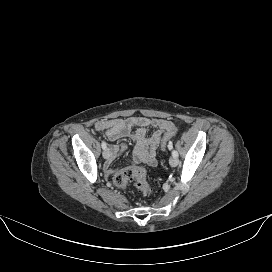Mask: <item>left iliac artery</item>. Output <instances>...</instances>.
<instances>
[{"mask_svg":"<svg viewBox=\"0 0 272 272\" xmlns=\"http://www.w3.org/2000/svg\"><path fill=\"white\" fill-rule=\"evenodd\" d=\"M172 146L171 145H169V148H171ZM172 156L173 157H178V152L176 151V150H173L172 151Z\"/></svg>","mask_w":272,"mask_h":272,"instance_id":"1","label":"left iliac artery"}]
</instances>
